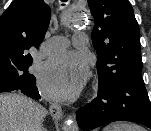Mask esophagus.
<instances>
[{
    "instance_id": "obj_1",
    "label": "esophagus",
    "mask_w": 151,
    "mask_h": 131,
    "mask_svg": "<svg viewBox=\"0 0 151 131\" xmlns=\"http://www.w3.org/2000/svg\"><path fill=\"white\" fill-rule=\"evenodd\" d=\"M49 111L51 116L55 119H61L64 116L62 108L58 103H51Z\"/></svg>"
}]
</instances>
